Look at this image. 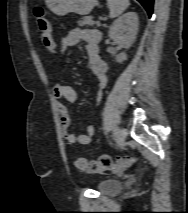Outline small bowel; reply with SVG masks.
<instances>
[{"label":"small bowel","mask_w":188,"mask_h":213,"mask_svg":"<svg viewBox=\"0 0 188 213\" xmlns=\"http://www.w3.org/2000/svg\"><path fill=\"white\" fill-rule=\"evenodd\" d=\"M100 41L101 34L98 30L89 28H75L64 36L60 50V53L64 54L66 49L77 45L79 42H84L89 58L88 67L96 77L99 85V92L97 95L98 104L102 100L103 89L106 87L108 81L107 64L99 54ZM53 96L56 100L57 111L60 114L61 127L65 142L68 145H73L75 143L86 145L91 143L95 132L94 125H88L84 134H74L71 130V118L68 113V108L62 101L65 100L70 103L76 102L78 100L77 92L69 85L56 84L53 89Z\"/></svg>","instance_id":"1"}]
</instances>
